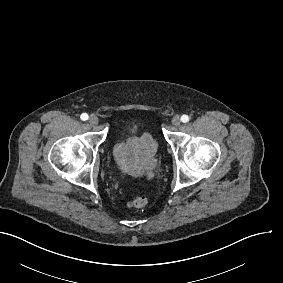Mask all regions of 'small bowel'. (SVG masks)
I'll return each mask as SVG.
<instances>
[{"mask_svg":"<svg viewBox=\"0 0 283 283\" xmlns=\"http://www.w3.org/2000/svg\"><path fill=\"white\" fill-rule=\"evenodd\" d=\"M145 139H149V136L146 135L144 136ZM139 140L138 139H131L129 141V147L133 148L138 144ZM115 156L116 159L118 161V165L120 167V169H129V164L126 160V157L120 152V150L118 148L115 149Z\"/></svg>","mask_w":283,"mask_h":283,"instance_id":"c3829d8e","label":"small bowel"}]
</instances>
